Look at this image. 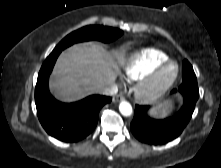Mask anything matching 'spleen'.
Masks as SVG:
<instances>
[{
  "label": "spleen",
  "instance_id": "spleen-1",
  "mask_svg": "<svg viewBox=\"0 0 221 168\" xmlns=\"http://www.w3.org/2000/svg\"><path fill=\"white\" fill-rule=\"evenodd\" d=\"M167 109H168V104H165L163 106V109L161 110V114L165 115L167 113ZM153 113L156 114L157 112L155 110H153Z\"/></svg>",
  "mask_w": 221,
  "mask_h": 168
}]
</instances>
